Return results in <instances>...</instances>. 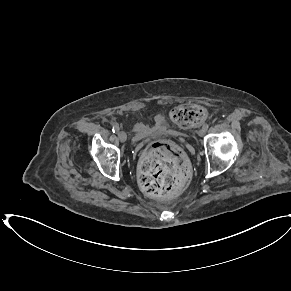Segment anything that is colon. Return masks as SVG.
<instances>
[{"label": "colon", "mask_w": 291, "mask_h": 291, "mask_svg": "<svg viewBox=\"0 0 291 291\" xmlns=\"http://www.w3.org/2000/svg\"><path fill=\"white\" fill-rule=\"evenodd\" d=\"M173 123L189 128L206 119V110L190 103L174 107L169 113ZM189 169L181 150L171 143H156L148 148L140 162L138 181L150 196L166 197L179 192L187 183Z\"/></svg>", "instance_id": "1"}]
</instances>
